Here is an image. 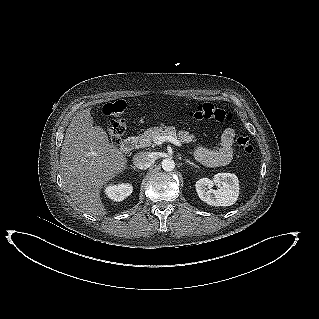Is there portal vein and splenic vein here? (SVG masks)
<instances>
[{
    "label": "portal vein and splenic vein",
    "instance_id": "obj_1",
    "mask_svg": "<svg viewBox=\"0 0 319 319\" xmlns=\"http://www.w3.org/2000/svg\"><path fill=\"white\" fill-rule=\"evenodd\" d=\"M154 142L157 145H161L163 142H170L176 146H181V142L172 136H155Z\"/></svg>",
    "mask_w": 319,
    "mask_h": 319
}]
</instances>
